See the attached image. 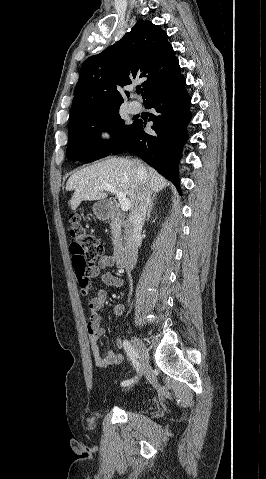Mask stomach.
<instances>
[{"label":"stomach","instance_id":"obj_1","mask_svg":"<svg viewBox=\"0 0 266 479\" xmlns=\"http://www.w3.org/2000/svg\"><path fill=\"white\" fill-rule=\"evenodd\" d=\"M93 212L98 219L106 220L110 217L111 206L108 202L99 201L93 205Z\"/></svg>","mask_w":266,"mask_h":479}]
</instances>
